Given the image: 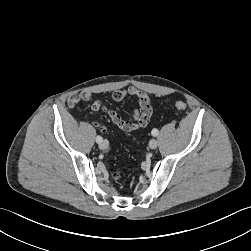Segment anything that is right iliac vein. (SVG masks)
<instances>
[{
	"instance_id": "right-iliac-vein-1",
	"label": "right iliac vein",
	"mask_w": 251,
	"mask_h": 251,
	"mask_svg": "<svg viewBox=\"0 0 251 251\" xmlns=\"http://www.w3.org/2000/svg\"><path fill=\"white\" fill-rule=\"evenodd\" d=\"M108 146H109V143L106 140H104V141H102V142L99 143V148L101 150H106L108 148Z\"/></svg>"
}]
</instances>
